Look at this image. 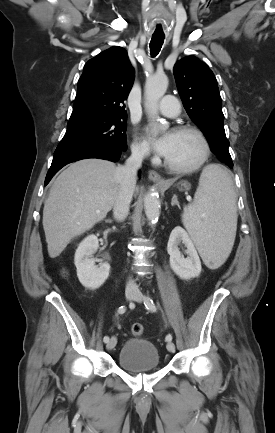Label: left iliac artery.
I'll list each match as a JSON object with an SVG mask.
<instances>
[{
  "instance_id": "1",
  "label": "left iliac artery",
  "mask_w": 275,
  "mask_h": 433,
  "mask_svg": "<svg viewBox=\"0 0 275 433\" xmlns=\"http://www.w3.org/2000/svg\"><path fill=\"white\" fill-rule=\"evenodd\" d=\"M144 305L148 310H150L152 312L156 311V306L150 297L145 298ZM171 340H172V336L170 334H168L166 336V341H171Z\"/></svg>"
}]
</instances>
